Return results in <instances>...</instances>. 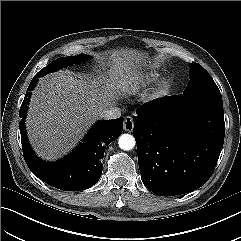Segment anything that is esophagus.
Instances as JSON below:
<instances>
[{"instance_id":"obj_1","label":"esophagus","mask_w":241,"mask_h":241,"mask_svg":"<svg viewBox=\"0 0 241 241\" xmlns=\"http://www.w3.org/2000/svg\"><path fill=\"white\" fill-rule=\"evenodd\" d=\"M124 130L127 132H132L134 129V122H133V118L130 116H126L124 118Z\"/></svg>"}]
</instances>
